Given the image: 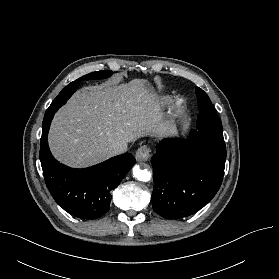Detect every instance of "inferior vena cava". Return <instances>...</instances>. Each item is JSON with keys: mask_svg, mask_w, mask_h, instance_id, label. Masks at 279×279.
Segmentation results:
<instances>
[{"mask_svg": "<svg viewBox=\"0 0 279 279\" xmlns=\"http://www.w3.org/2000/svg\"><path fill=\"white\" fill-rule=\"evenodd\" d=\"M126 151H127V146L123 144H114L111 145L110 148L108 149V153L111 156L120 155L125 153Z\"/></svg>", "mask_w": 279, "mask_h": 279, "instance_id": "obj_1", "label": "inferior vena cava"}]
</instances>
